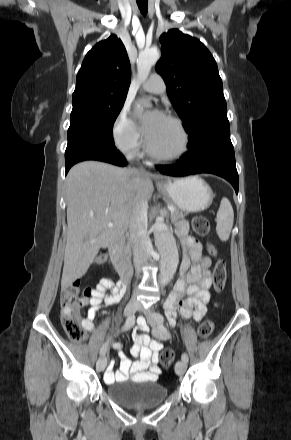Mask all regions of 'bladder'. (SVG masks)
Returning <instances> with one entry per match:
<instances>
[{
  "instance_id": "bladder-1",
  "label": "bladder",
  "mask_w": 291,
  "mask_h": 440,
  "mask_svg": "<svg viewBox=\"0 0 291 440\" xmlns=\"http://www.w3.org/2000/svg\"><path fill=\"white\" fill-rule=\"evenodd\" d=\"M109 397L118 404L137 408L159 404L165 400L168 389L150 380H123L107 386Z\"/></svg>"
}]
</instances>
